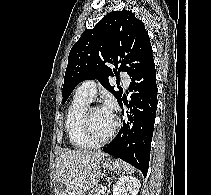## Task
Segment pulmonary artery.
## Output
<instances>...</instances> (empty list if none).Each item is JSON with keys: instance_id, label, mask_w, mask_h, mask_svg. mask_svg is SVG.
Listing matches in <instances>:
<instances>
[{"instance_id": "pulmonary-artery-1", "label": "pulmonary artery", "mask_w": 211, "mask_h": 195, "mask_svg": "<svg viewBox=\"0 0 211 195\" xmlns=\"http://www.w3.org/2000/svg\"><path fill=\"white\" fill-rule=\"evenodd\" d=\"M121 79L124 82V84L127 86L130 82V79L125 72L120 73ZM97 92V84L93 80H88L83 82L76 90V93L88 98L89 100H93L96 96Z\"/></svg>"}]
</instances>
